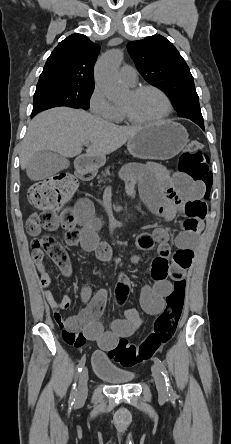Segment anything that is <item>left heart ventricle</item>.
<instances>
[{"label": "left heart ventricle", "instance_id": "left-heart-ventricle-1", "mask_svg": "<svg viewBox=\"0 0 231 444\" xmlns=\"http://www.w3.org/2000/svg\"><path fill=\"white\" fill-rule=\"evenodd\" d=\"M137 120H154L166 111L164 99L156 92L148 90L138 95L128 93L121 104Z\"/></svg>", "mask_w": 231, "mask_h": 444}]
</instances>
